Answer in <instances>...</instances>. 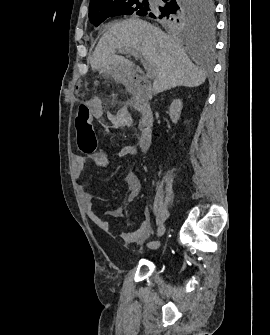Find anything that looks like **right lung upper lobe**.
<instances>
[{
	"mask_svg": "<svg viewBox=\"0 0 270 335\" xmlns=\"http://www.w3.org/2000/svg\"><path fill=\"white\" fill-rule=\"evenodd\" d=\"M111 1L113 0H90V7L93 8V7L101 6Z\"/></svg>",
	"mask_w": 270,
	"mask_h": 335,
	"instance_id": "obj_1",
	"label": "right lung upper lobe"
}]
</instances>
